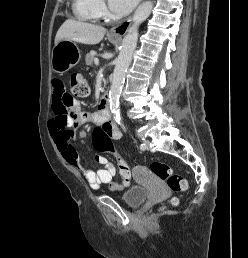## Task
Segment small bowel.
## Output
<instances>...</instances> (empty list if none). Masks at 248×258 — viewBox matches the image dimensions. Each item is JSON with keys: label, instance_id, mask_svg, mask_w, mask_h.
Masks as SVG:
<instances>
[{"label": "small bowel", "instance_id": "obj_1", "mask_svg": "<svg viewBox=\"0 0 248 258\" xmlns=\"http://www.w3.org/2000/svg\"><path fill=\"white\" fill-rule=\"evenodd\" d=\"M52 109L54 117L49 122V128L55 143L64 159L77 167L90 187L98 190L102 185H107L112 191H120L129 186V181L119 183L114 181L117 169L106 157L95 155V160L102 166L98 171H93L80 161L73 140V133L87 120L97 124L110 138L119 140L121 132L109 118H103L100 110L95 113H86L80 109L78 101L66 90L61 80H54L52 84ZM72 109L71 118L67 123L62 121V113Z\"/></svg>", "mask_w": 248, "mask_h": 258}]
</instances>
